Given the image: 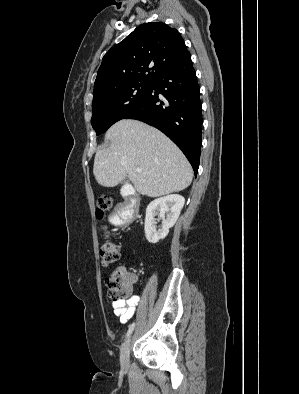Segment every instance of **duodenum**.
<instances>
[{
  "mask_svg": "<svg viewBox=\"0 0 299 394\" xmlns=\"http://www.w3.org/2000/svg\"><path fill=\"white\" fill-rule=\"evenodd\" d=\"M123 196L125 201L120 208L119 217L124 222L132 221L139 208L138 198L129 188L123 190Z\"/></svg>",
  "mask_w": 299,
  "mask_h": 394,
  "instance_id": "410a0bca",
  "label": "duodenum"
}]
</instances>
